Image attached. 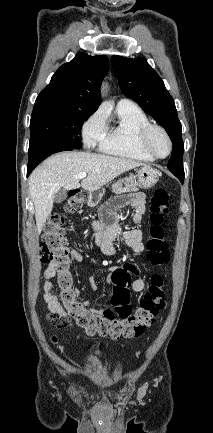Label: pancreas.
Wrapping results in <instances>:
<instances>
[{
  "instance_id": "pancreas-1",
  "label": "pancreas",
  "mask_w": 213,
  "mask_h": 433,
  "mask_svg": "<svg viewBox=\"0 0 213 433\" xmlns=\"http://www.w3.org/2000/svg\"><path fill=\"white\" fill-rule=\"evenodd\" d=\"M137 186L138 184L132 178H124L119 180L116 184L112 186V191L115 194H121L125 192H135L138 190Z\"/></svg>"
}]
</instances>
